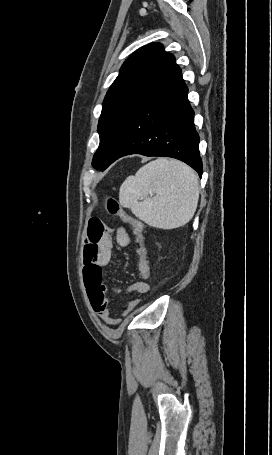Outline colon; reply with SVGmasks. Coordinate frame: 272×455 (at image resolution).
<instances>
[{"label":"colon","mask_w":272,"mask_h":455,"mask_svg":"<svg viewBox=\"0 0 272 455\" xmlns=\"http://www.w3.org/2000/svg\"><path fill=\"white\" fill-rule=\"evenodd\" d=\"M107 209L110 214L119 215L123 221L128 223L132 229L133 233L136 236V240L138 242V271L139 276L142 281H148L150 277V264L147 256V250L144 246V238H143V224L138 219L134 218L127 212L121 209L120 205L115 200H108L107 202Z\"/></svg>","instance_id":"1"}]
</instances>
